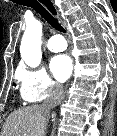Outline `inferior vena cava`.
<instances>
[{
  "label": "inferior vena cava",
  "instance_id": "602c4592",
  "mask_svg": "<svg viewBox=\"0 0 117 136\" xmlns=\"http://www.w3.org/2000/svg\"><path fill=\"white\" fill-rule=\"evenodd\" d=\"M64 95H65V92H64L63 86L61 84L55 83L53 85V88L51 90L49 97L41 105L43 109H45L46 113L49 114L48 120L50 122L53 120L52 108L56 107L62 102V100L64 99Z\"/></svg>",
  "mask_w": 117,
  "mask_h": 136
}]
</instances>
